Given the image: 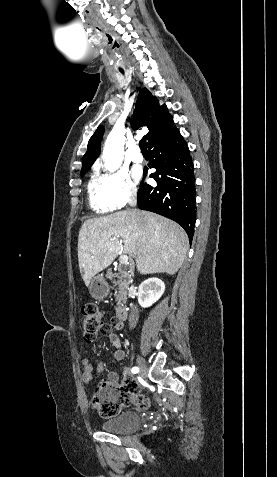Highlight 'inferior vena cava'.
<instances>
[{
  "mask_svg": "<svg viewBox=\"0 0 277 477\" xmlns=\"http://www.w3.org/2000/svg\"><path fill=\"white\" fill-rule=\"evenodd\" d=\"M137 204V199H136V193L133 192L131 195H130V200H129V205L131 207H135ZM132 212L134 214H136V211L135 210H132ZM137 321H138V313H137V310H133L129 316V326L130 328H134L137 324Z\"/></svg>",
  "mask_w": 277,
  "mask_h": 477,
  "instance_id": "inferior-vena-cava-1",
  "label": "inferior vena cava"
}]
</instances>
